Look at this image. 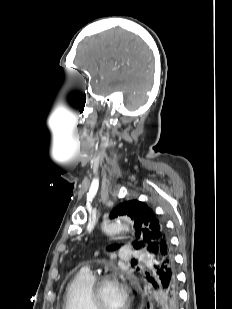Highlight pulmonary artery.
<instances>
[{"label":"pulmonary artery","mask_w":232,"mask_h":309,"mask_svg":"<svg viewBox=\"0 0 232 309\" xmlns=\"http://www.w3.org/2000/svg\"><path fill=\"white\" fill-rule=\"evenodd\" d=\"M142 259V260H149V256L145 255L144 253L140 252V251H132V250H128L127 248L123 249V256H122V261H128L129 259ZM82 272L89 274V275H93L92 271L89 267H83L81 269Z\"/></svg>","instance_id":"pulmonary-artery-1"}]
</instances>
